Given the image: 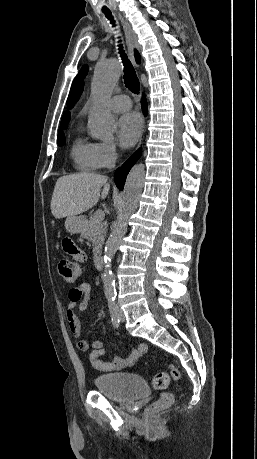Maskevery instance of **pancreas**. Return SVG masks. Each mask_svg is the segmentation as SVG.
<instances>
[{
    "label": "pancreas",
    "instance_id": "1",
    "mask_svg": "<svg viewBox=\"0 0 257 459\" xmlns=\"http://www.w3.org/2000/svg\"><path fill=\"white\" fill-rule=\"evenodd\" d=\"M106 229L107 223L96 220L95 216L92 215L81 233L82 237H89L92 241L94 256L100 253V249L105 239Z\"/></svg>",
    "mask_w": 257,
    "mask_h": 459
}]
</instances>
